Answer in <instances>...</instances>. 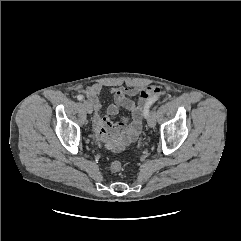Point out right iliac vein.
<instances>
[{"label": "right iliac vein", "mask_w": 241, "mask_h": 241, "mask_svg": "<svg viewBox=\"0 0 241 241\" xmlns=\"http://www.w3.org/2000/svg\"><path fill=\"white\" fill-rule=\"evenodd\" d=\"M83 105H84L86 111H87L89 114H91V113L93 112V105H92V103H91L90 101L84 100V101H83Z\"/></svg>", "instance_id": "obj_1"}]
</instances>
